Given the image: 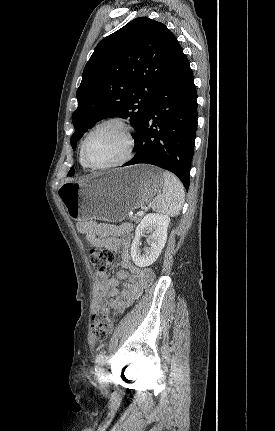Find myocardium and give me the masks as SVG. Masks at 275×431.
Masks as SVG:
<instances>
[{"label": "myocardium", "instance_id": "obj_1", "mask_svg": "<svg viewBox=\"0 0 275 431\" xmlns=\"http://www.w3.org/2000/svg\"><path fill=\"white\" fill-rule=\"evenodd\" d=\"M112 124L119 126L125 132V135L127 138V149H126L124 156L121 159H119L115 162H112V163H108V164L93 165V164L89 163L87 158H86V144H87L89 138L98 129H100L104 126H107V125H112ZM134 148H135V139H134V133H133V129H132L131 125L120 117H111V118L105 119V120L97 123L86 134V136L83 139L82 144H81L80 156H81V159H82V162L84 163V165L90 169H94V170L111 169V168L119 167V166H122V165L128 163L133 157Z\"/></svg>", "mask_w": 275, "mask_h": 431}]
</instances>
